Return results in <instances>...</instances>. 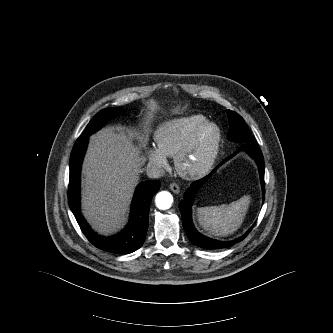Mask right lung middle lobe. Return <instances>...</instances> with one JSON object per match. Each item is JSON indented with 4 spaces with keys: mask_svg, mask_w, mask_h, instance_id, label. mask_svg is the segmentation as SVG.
<instances>
[{
    "mask_svg": "<svg viewBox=\"0 0 333 333\" xmlns=\"http://www.w3.org/2000/svg\"><path fill=\"white\" fill-rule=\"evenodd\" d=\"M119 114L117 108H106L95 115V117L89 122L86 129L83 132L84 136L96 132L100 129L109 119Z\"/></svg>",
    "mask_w": 333,
    "mask_h": 333,
    "instance_id": "right-lung-middle-lobe-1",
    "label": "right lung middle lobe"
}]
</instances>
